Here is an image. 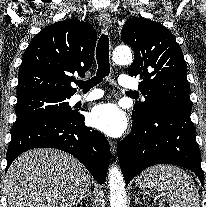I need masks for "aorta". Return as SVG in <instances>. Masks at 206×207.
Wrapping results in <instances>:
<instances>
[{
  "label": "aorta",
  "mask_w": 206,
  "mask_h": 207,
  "mask_svg": "<svg viewBox=\"0 0 206 207\" xmlns=\"http://www.w3.org/2000/svg\"><path fill=\"white\" fill-rule=\"evenodd\" d=\"M113 62L118 65H126L132 61L130 48L126 46L117 47L113 51ZM110 206L126 207L127 198L125 183L120 169L112 166L109 169Z\"/></svg>",
  "instance_id": "1"
}]
</instances>
